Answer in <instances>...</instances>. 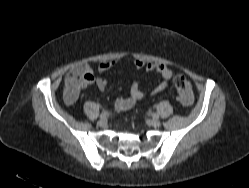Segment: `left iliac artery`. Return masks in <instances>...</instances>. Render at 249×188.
Returning a JSON list of instances; mask_svg holds the SVG:
<instances>
[{
    "label": "left iliac artery",
    "instance_id": "1",
    "mask_svg": "<svg viewBox=\"0 0 249 188\" xmlns=\"http://www.w3.org/2000/svg\"><path fill=\"white\" fill-rule=\"evenodd\" d=\"M153 118H158V115L156 113H152Z\"/></svg>",
    "mask_w": 249,
    "mask_h": 188
}]
</instances>
